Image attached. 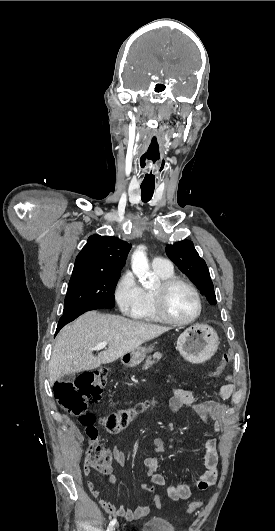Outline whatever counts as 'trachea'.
Masks as SVG:
<instances>
[{"mask_svg": "<svg viewBox=\"0 0 275 531\" xmlns=\"http://www.w3.org/2000/svg\"><path fill=\"white\" fill-rule=\"evenodd\" d=\"M154 193V187L149 186H141V198L142 201L147 203V201H150Z\"/></svg>", "mask_w": 275, "mask_h": 531, "instance_id": "obj_1", "label": "trachea"}]
</instances>
